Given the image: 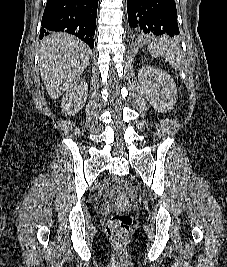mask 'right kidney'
Listing matches in <instances>:
<instances>
[{
	"mask_svg": "<svg viewBox=\"0 0 227 267\" xmlns=\"http://www.w3.org/2000/svg\"><path fill=\"white\" fill-rule=\"evenodd\" d=\"M88 94V84L84 80L76 81L63 95L61 108L66 114H75L84 106Z\"/></svg>",
	"mask_w": 227,
	"mask_h": 267,
	"instance_id": "ca27d5eb",
	"label": "right kidney"
}]
</instances>
